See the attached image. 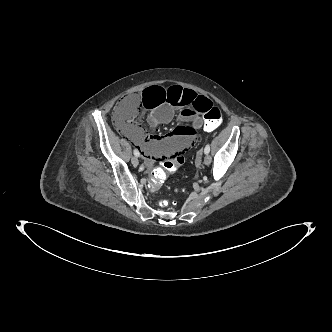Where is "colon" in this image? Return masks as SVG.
<instances>
[{"label":"colon","instance_id":"1","mask_svg":"<svg viewBox=\"0 0 332 332\" xmlns=\"http://www.w3.org/2000/svg\"><path fill=\"white\" fill-rule=\"evenodd\" d=\"M148 87V86H147ZM141 95L133 94L123 98L117 105L114 111L115 122L120 126H128L131 124L132 119L139 111L144 108ZM204 121L202 123V129L206 133H211L222 123V113L216 106H209L204 112ZM186 166V158L184 155L181 157L169 160L164 159L162 165L151 172L149 178V185L152 189H160L165 185L168 175L171 172L184 169ZM168 200L162 202L163 205H167Z\"/></svg>","mask_w":332,"mask_h":332}]
</instances>
